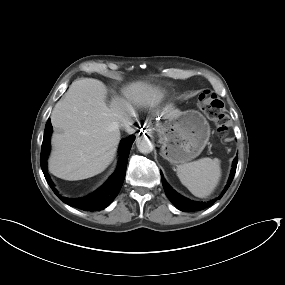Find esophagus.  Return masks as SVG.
Returning <instances> with one entry per match:
<instances>
[{
    "label": "esophagus",
    "mask_w": 285,
    "mask_h": 285,
    "mask_svg": "<svg viewBox=\"0 0 285 285\" xmlns=\"http://www.w3.org/2000/svg\"><path fill=\"white\" fill-rule=\"evenodd\" d=\"M148 128V127H147ZM148 131V134H151V128L146 129Z\"/></svg>",
    "instance_id": "34e87169"
}]
</instances>
